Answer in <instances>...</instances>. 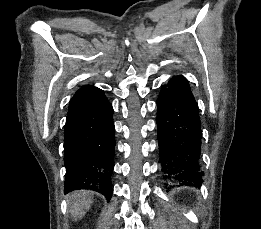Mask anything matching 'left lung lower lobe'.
Returning a JSON list of instances; mask_svg holds the SVG:
<instances>
[{
    "mask_svg": "<svg viewBox=\"0 0 261 229\" xmlns=\"http://www.w3.org/2000/svg\"><path fill=\"white\" fill-rule=\"evenodd\" d=\"M157 127L161 172L183 184L202 183L201 122L199 110L184 76L161 87L157 100Z\"/></svg>",
    "mask_w": 261,
    "mask_h": 229,
    "instance_id": "left-lung-lower-lobe-1",
    "label": "left lung lower lobe"
}]
</instances>
